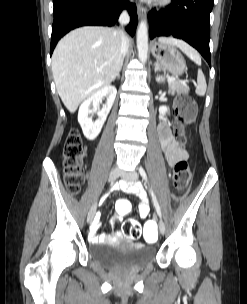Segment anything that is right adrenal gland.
Here are the masks:
<instances>
[{
  "instance_id": "1",
  "label": "right adrenal gland",
  "mask_w": 247,
  "mask_h": 304,
  "mask_svg": "<svg viewBox=\"0 0 247 304\" xmlns=\"http://www.w3.org/2000/svg\"><path fill=\"white\" fill-rule=\"evenodd\" d=\"M121 68H122V67H121ZM121 68H120V70H119V72H118V74H117L116 78H119V77H120V71H121Z\"/></svg>"
}]
</instances>
